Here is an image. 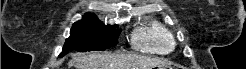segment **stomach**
<instances>
[{"instance_id": "obj_1", "label": "stomach", "mask_w": 246, "mask_h": 69, "mask_svg": "<svg viewBox=\"0 0 246 69\" xmlns=\"http://www.w3.org/2000/svg\"><path fill=\"white\" fill-rule=\"evenodd\" d=\"M150 69H173L172 67L168 66V65H157V66H153Z\"/></svg>"}]
</instances>
